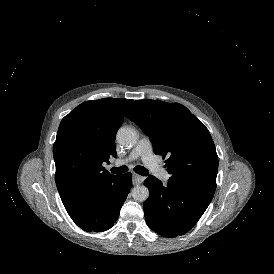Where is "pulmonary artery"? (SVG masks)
I'll return each mask as SVG.
<instances>
[{
	"label": "pulmonary artery",
	"mask_w": 274,
	"mask_h": 274,
	"mask_svg": "<svg viewBox=\"0 0 274 274\" xmlns=\"http://www.w3.org/2000/svg\"><path fill=\"white\" fill-rule=\"evenodd\" d=\"M136 159H141L148 167L150 172L155 173L157 175H162L163 171L159 167H155L154 157L152 154V146L151 141L148 137L142 136L137 143V145L133 148L131 153L126 159L117 160L115 162L116 166H121L128 161H133ZM168 178L167 173H164L161 179L166 180Z\"/></svg>",
	"instance_id": "obj_1"
}]
</instances>
